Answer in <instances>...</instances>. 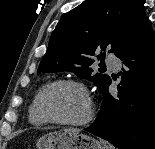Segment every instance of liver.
<instances>
[{
    "label": "liver",
    "instance_id": "6515ba94",
    "mask_svg": "<svg viewBox=\"0 0 155 149\" xmlns=\"http://www.w3.org/2000/svg\"><path fill=\"white\" fill-rule=\"evenodd\" d=\"M67 130H70V131L75 132V133H79V132H80V130H79V129H75V128H72V129H67Z\"/></svg>",
    "mask_w": 155,
    "mask_h": 149
}]
</instances>
